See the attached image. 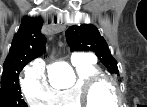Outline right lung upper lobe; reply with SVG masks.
Wrapping results in <instances>:
<instances>
[{"instance_id": "obj_1", "label": "right lung upper lobe", "mask_w": 147, "mask_h": 107, "mask_svg": "<svg viewBox=\"0 0 147 107\" xmlns=\"http://www.w3.org/2000/svg\"><path fill=\"white\" fill-rule=\"evenodd\" d=\"M41 19H24L14 35L9 54L3 65V75L20 72L21 64L43 54L46 38L40 32Z\"/></svg>"}]
</instances>
